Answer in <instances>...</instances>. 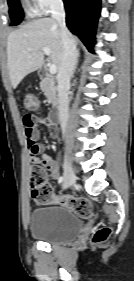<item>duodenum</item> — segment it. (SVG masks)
<instances>
[{
    "instance_id": "duodenum-1",
    "label": "duodenum",
    "mask_w": 134,
    "mask_h": 281,
    "mask_svg": "<svg viewBox=\"0 0 134 281\" xmlns=\"http://www.w3.org/2000/svg\"><path fill=\"white\" fill-rule=\"evenodd\" d=\"M38 74L41 80L47 79V70L44 67L39 68ZM48 122L56 126L60 122V110L56 108L48 116Z\"/></svg>"
}]
</instances>
